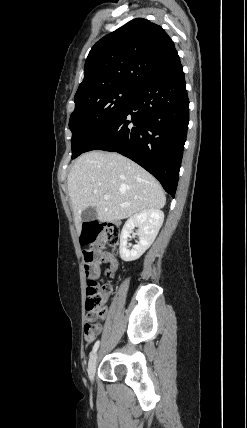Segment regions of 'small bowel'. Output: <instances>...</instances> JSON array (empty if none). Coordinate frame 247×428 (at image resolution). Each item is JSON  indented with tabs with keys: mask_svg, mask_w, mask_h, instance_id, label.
I'll list each match as a JSON object with an SVG mask.
<instances>
[{
	"mask_svg": "<svg viewBox=\"0 0 247 428\" xmlns=\"http://www.w3.org/2000/svg\"><path fill=\"white\" fill-rule=\"evenodd\" d=\"M104 259H109L108 255H105ZM100 274V268L98 265H94L93 267V272H92V277L96 278L98 277ZM102 330V326L100 323H96V331L92 334V335H85V339L88 342H92L95 337L101 332Z\"/></svg>",
	"mask_w": 247,
	"mask_h": 428,
	"instance_id": "c3829d8e",
	"label": "small bowel"
}]
</instances>
